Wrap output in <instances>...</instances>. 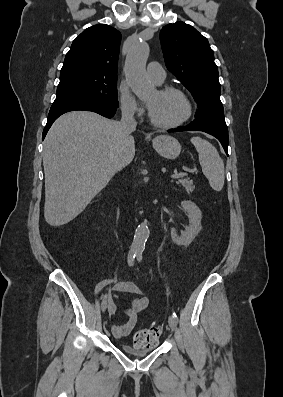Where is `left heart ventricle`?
Listing matches in <instances>:
<instances>
[{
	"instance_id": "b2bd125f",
	"label": "left heart ventricle",
	"mask_w": 283,
	"mask_h": 397,
	"mask_svg": "<svg viewBox=\"0 0 283 397\" xmlns=\"http://www.w3.org/2000/svg\"><path fill=\"white\" fill-rule=\"evenodd\" d=\"M146 102L153 117L162 123L175 122L187 113V103L178 93L162 95L156 90Z\"/></svg>"
}]
</instances>
